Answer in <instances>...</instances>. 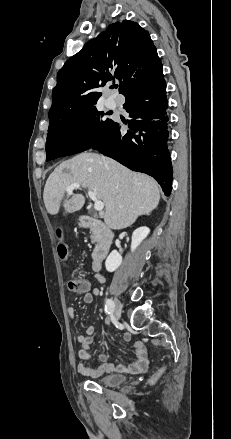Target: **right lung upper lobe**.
<instances>
[{
  "instance_id": "cb5924a9",
  "label": "right lung upper lobe",
  "mask_w": 231,
  "mask_h": 439,
  "mask_svg": "<svg viewBox=\"0 0 231 439\" xmlns=\"http://www.w3.org/2000/svg\"><path fill=\"white\" fill-rule=\"evenodd\" d=\"M163 76V67L149 33L123 20L89 41L59 70L52 91L50 123L95 107L97 88L118 79L125 97Z\"/></svg>"
}]
</instances>
